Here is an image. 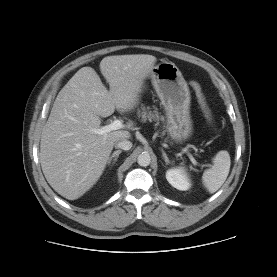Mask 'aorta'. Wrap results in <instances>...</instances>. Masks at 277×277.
Returning a JSON list of instances; mask_svg holds the SVG:
<instances>
[{
  "mask_svg": "<svg viewBox=\"0 0 277 277\" xmlns=\"http://www.w3.org/2000/svg\"><path fill=\"white\" fill-rule=\"evenodd\" d=\"M150 162H151V157L147 152H142L137 158V163L142 167L148 166Z\"/></svg>",
  "mask_w": 277,
  "mask_h": 277,
  "instance_id": "aorta-1",
  "label": "aorta"
}]
</instances>
